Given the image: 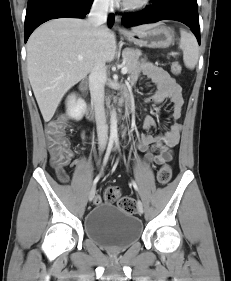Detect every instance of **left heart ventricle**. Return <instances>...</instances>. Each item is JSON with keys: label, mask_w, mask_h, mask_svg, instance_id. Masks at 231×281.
<instances>
[{"label": "left heart ventricle", "mask_w": 231, "mask_h": 281, "mask_svg": "<svg viewBox=\"0 0 231 281\" xmlns=\"http://www.w3.org/2000/svg\"><path fill=\"white\" fill-rule=\"evenodd\" d=\"M127 1H135V0H127Z\"/></svg>", "instance_id": "b2bd125f"}]
</instances>
